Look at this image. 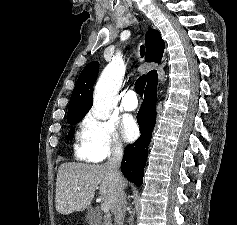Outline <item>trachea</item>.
<instances>
[{
  "mask_svg": "<svg viewBox=\"0 0 237 225\" xmlns=\"http://www.w3.org/2000/svg\"><path fill=\"white\" fill-rule=\"evenodd\" d=\"M145 54V47L142 45L140 48V55L143 57ZM146 85V77L145 75L140 76L135 83V91L140 96H143L144 88Z\"/></svg>",
  "mask_w": 237,
  "mask_h": 225,
  "instance_id": "obj_1",
  "label": "trachea"
}]
</instances>
